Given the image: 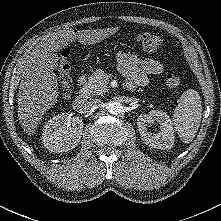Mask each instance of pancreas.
<instances>
[{
  "mask_svg": "<svg viewBox=\"0 0 221 221\" xmlns=\"http://www.w3.org/2000/svg\"><path fill=\"white\" fill-rule=\"evenodd\" d=\"M109 75L99 69L93 72L88 82L83 86L80 93L86 97L99 96L107 92Z\"/></svg>",
  "mask_w": 221,
  "mask_h": 221,
  "instance_id": "obj_1",
  "label": "pancreas"
}]
</instances>
